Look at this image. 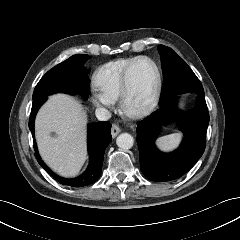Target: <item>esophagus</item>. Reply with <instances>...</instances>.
<instances>
[{
    "mask_svg": "<svg viewBox=\"0 0 240 240\" xmlns=\"http://www.w3.org/2000/svg\"><path fill=\"white\" fill-rule=\"evenodd\" d=\"M121 132V129L118 125L116 124H113L112 127H111V134H112V137H116L119 133Z\"/></svg>",
    "mask_w": 240,
    "mask_h": 240,
    "instance_id": "34e87169",
    "label": "esophagus"
}]
</instances>
